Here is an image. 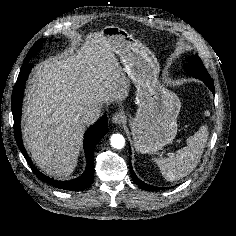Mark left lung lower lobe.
Segmentation results:
<instances>
[{
	"label": "left lung lower lobe",
	"instance_id": "0a47b994",
	"mask_svg": "<svg viewBox=\"0 0 236 236\" xmlns=\"http://www.w3.org/2000/svg\"><path fill=\"white\" fill-rule=\"evenodd\" d=\"M198 78L202 81H204V83L208 86V88L212 91V93H214V83L213 80L211 79V77H195ZM129 166H130V172H131V176L133 181L138 184L140 187H142L143 189H146L148 191H154V190H160L162 189L161 187H154L151 185H148L144 182H142L134 173L132 166H131V161L129 162Z\"/></svg>",
	"mask_w": 236,
	"mask_h": 236
}]
</instances>
